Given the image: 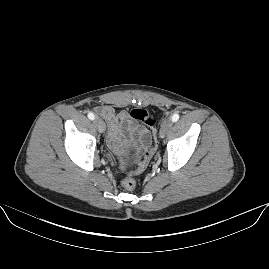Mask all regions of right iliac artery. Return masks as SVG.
<instances>
[{"instance_id":"1","label":"right iliac artery","mask_w":269,"mask_h":269,"mask_svg":"<svg viewBox=\"0 0 269 269\" xmlns=\"http://www.w3.org/2000/svg\"><path fill=\"white\" fill-rule=\"evenodd\" d=\"M88 118L91 119V120H94L95 119V116L93 113H89L88 114Z\"/></svg>"}]
</instances>
